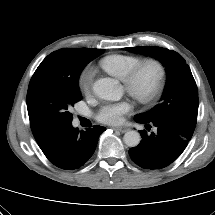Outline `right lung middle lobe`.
Masks as SVG:
<instances>
[{
  "label": "right lung middle lobe",
  "instance_id": "right-lung-middle-lobe-1",
  "mask_svg": "<svg viewBox=\"0 0 215 215\" xmlns=\"http://www.w3.org/2000/svg\"><path fill=\"white\" fill-rule=\"evenodd\" d=\"M104 49H60L38 66L29 83L27 109L33 132L57 136L72 125L70 113L82 99L78 79L84 67Z\"/></svg>",
  "mask_w": 215,
  "mask_h": 215
}]
</instances>
